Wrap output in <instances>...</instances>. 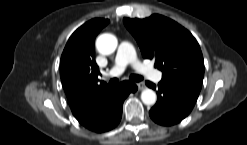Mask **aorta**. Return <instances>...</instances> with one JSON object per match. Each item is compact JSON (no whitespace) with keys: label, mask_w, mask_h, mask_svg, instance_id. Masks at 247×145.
<instances>
[{"label":"aorta","mask_w":247,"mask_h":145,"mask_svg":"<svg viewBox=\"0 0 247 145\" xmlns=\"http://www.w3.org/2000/svg\"><path fill=\"white\" fill-rule=\"evenodd\" d=\"M118 45L117 38L109 33L100 35L96 40L97 50L104 55L112 54ZM141 100L145 105H153L156 103V93L149 88H146L141 93Z\"/></svg>","instance_id":"762f6f07"}]
</instances>
